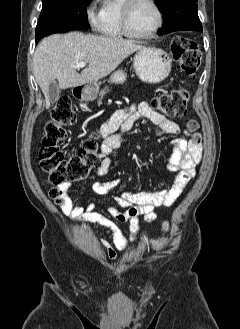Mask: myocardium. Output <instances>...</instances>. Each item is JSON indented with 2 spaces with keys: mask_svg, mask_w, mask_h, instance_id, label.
I'll use <instances>...</instances> for the list:
<instances>
[{
  "mask_svg": "<svg viewBox=\"0 0 240 329\" xmlns=\"http://www.w3.org/2000/svg\"><path fill=\"white\" fill-rule=\"evenodd\" d=\"M147 1L154 7L157 13V23L155 27L147 33H136L131 30L130 18H131L132 9L134 5L138 2V0H124L122 11H121V27L123 33L127 37L135 38V39H148L153 37L162 27L164 22V14L162 9L160 8L156 0H147Z\"/></svg>",
  "mask_w": 240,
  "mask_h": 329,
  "instance_id": "obj_1",
  "label": "myocardium"
}]
</instances>
